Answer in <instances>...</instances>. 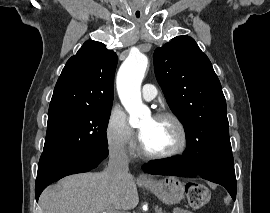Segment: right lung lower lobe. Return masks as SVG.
Returning a JSON list of instances; mask_svg holds the SVG:
<instances>
[{
	"label": "right lung lower lobe",
	"mask_w": 270,
	"mask_h": 213,
	"mask_svg": "<svg viewBox=\"0 0 270 213\" xmlns=\"http://www.w3.org/2000/svg\"><path fill=\"white\" fill-rule=\"evenodd\" d=\"M108 156L107 148H100L81 154H67L41 157L35 186L36 200L51 183L71 174L88 172Z\"/></svg>",
	"instance_id": "1"
}]
</instances>
